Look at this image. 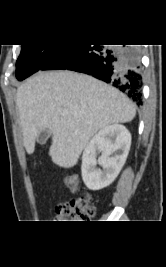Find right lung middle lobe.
<instances>
[{
	"label": "right lung middle lobe",
	"mask_w": 166,
	"mask_h": 267,
	"mask_svg": "<svg viewBox=\"0 0 166 267\" xmlns=\"http://www.w3.org/2000/svg\"><path fill=\"white\" fill-rule=\"evenodd\" d=\"M61 46L58 44L22 45L16 62V78L21 81L40 70Z\"/></svg>",
	"instance_id": "obj_1"
}]
</instances>
